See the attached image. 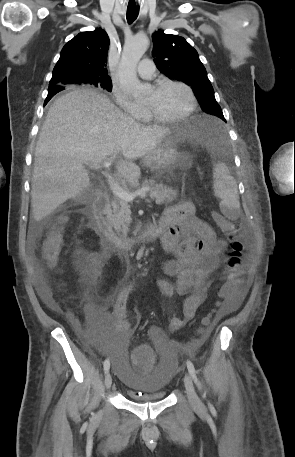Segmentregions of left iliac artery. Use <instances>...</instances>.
<instances>
[{
	"label": "left iliac artery",
	"instance_id": "44dca946",
	"mask_svg": "<svg viewBox=\"0 0 295 457\" xmlns=\"http://www.w3.org/2000/svg\"><path fill=\"white\" fill-rule=\"evenodd\" d=\"M186 364H187V368H188V371H189L192 379L194 380V382L197 385V387L199 389H201V384H200V382H199V380H198V378L196 376V370H195V367H194L193 363L191 361L187 360ZM203 397H205L204 394H203Z\"/></svg>",
	"mask_w": 295,
	"mask_h": 457
}]
</instances>
